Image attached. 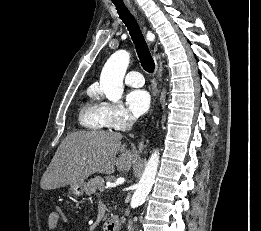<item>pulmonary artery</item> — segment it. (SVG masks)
<instances>
[{"instance_id":"obj_1","label":"pulmonary artery","mask_w":261,"mask_h":231,"mask_svg":"<svg viewBox=\"0 0 261 231\" xmlns=\"http://www.w3.org/2000/svg\"><path fill=\"white\" fill-rule=\"evenodd\" d=\"M126 84L139 88L142 87L144 84V78L143 75L138 71H130L127 73L125 77Z\"/></svg>"}]
</instances>
